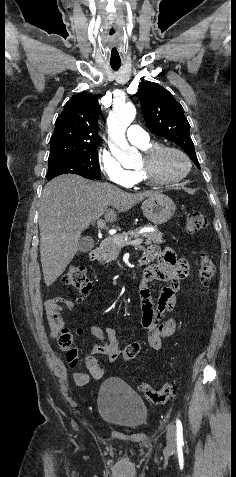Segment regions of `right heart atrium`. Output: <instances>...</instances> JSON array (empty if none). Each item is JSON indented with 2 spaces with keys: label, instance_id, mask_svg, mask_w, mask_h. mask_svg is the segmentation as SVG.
I'll return each instance as SVG.
<instances>
[{
  "label": "right heart atrium",
  "instance_id": "1",
  "mask_svg": "<svg viewBox=\"0 0 236 477\" xmlns=\"http://www.w3.org/2000/svg\"><path fill=\"white\" fill-rule=\"evenodd\" d=\"M98 164L100 171L110 183L121 187H130L132 185L130 171L125 169L106 149L100 150Z\"/></svg>",
  "mask_w": 236,
  "mask_h": 477
}]
</instances>
